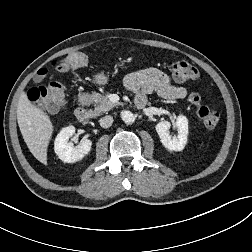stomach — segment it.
Wrapping results in <instances>:
<instances>
[{"label": "stomach", "instance_id": "1", "mask_svg": "<svg viewBox=\"0 0 252 252\" xmlns=\"http://www.w3.org/2000/svg\"><path fill=\"white\" fill-rule=\"evenodd\" d=\"M121 67L124 66V63H121ZM94 82L98 85H105L108 82V77L103 73H98L94 76Z\"/></svg>", "mask_w": 252, "mask_h": 252}]
</instances>
